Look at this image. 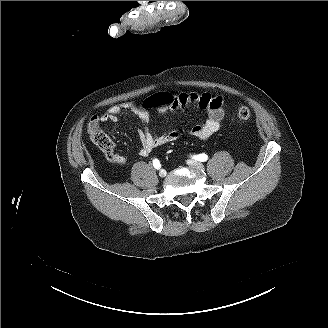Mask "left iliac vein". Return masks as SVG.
Instances as JSON below:
<instances>
[{
  "label": "left iliac vein",
  "mask_w": 328,
  "mask_h": 328,
  "mask_svg": "<svg viewBox=\"0 0 328 328\" xmlns=\"http://www.w3.org/2000/svg\"><path fill=\"white\" fill-rule=\"evenodd\" d=\"M187 164L192 166V167L204 169V165L201 162H198V161H195V160H189V161H187Z\"/></svg>",
  "instance_id": "obj_1"
}]
</instances>
